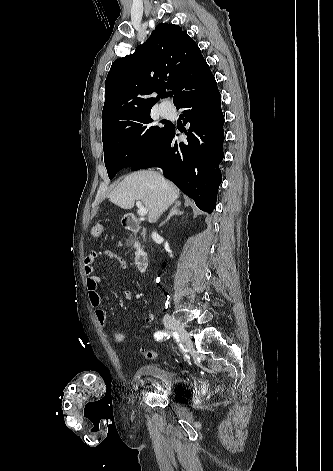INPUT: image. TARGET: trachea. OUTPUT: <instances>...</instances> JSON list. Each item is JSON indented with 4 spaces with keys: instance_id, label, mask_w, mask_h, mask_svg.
Segmentation results:
<instances>
[{
    "instance_id": "trachea-1",
    "label": "trachea",
    "mask_w": 333,
    "mask_h": 471,
    "mask_svg": "<svg viewBox=\"0 0 333 471\" xmlns=\"http://www.w3.org/2000/svg\"><path fill=\"white\" fill-rule=\"evenodd\" d=\"M168 95H169L170 97H172V96H173V92H170Z\"/></svg>"
}]
</instances>
